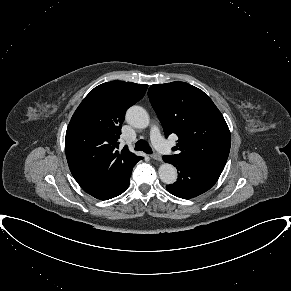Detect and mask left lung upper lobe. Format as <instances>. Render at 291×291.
I'll return each mask as SVG.
<instances>
[{"instance_id": "obj_1", "label": "left lung upper lobe", "mask_w": 291, "mask_h": 291, "mask_svg": "<svg viewBox=\"0 0 291 291\" xmlns=\"http://www.w3.org/2000/svg\"><path fill=\"white\" fill-rule=\"evenodd\" d=\"M150 102L165 136L174 133L178 143L173 155L181 161L224 167L231 136L227 123L202 90L185 82L151 85Z\"/></svg>"}]
</instances>
